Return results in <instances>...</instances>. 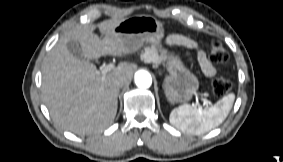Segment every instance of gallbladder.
<instances>
[{"instance_id": "gallbladder-1", "label": "gallbladder", "mask_w": 283, "mask_h": 162, "mask_svg": "<svg viewBox=\"0 0 283 162\" xmlns=\"http://www.w3.org/2000/svg\"><path fill=\"white\" fill-rule=\"evenodd\" d=\"M67 48L69 50V52L77 59L79 60H83V61H88L83 52H82V49L80 48L78 42L76 41H69L67 43Z\"/></svg>"}]
</instances>
